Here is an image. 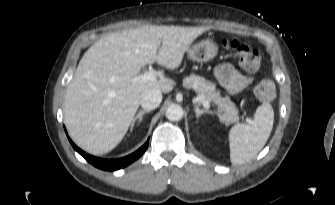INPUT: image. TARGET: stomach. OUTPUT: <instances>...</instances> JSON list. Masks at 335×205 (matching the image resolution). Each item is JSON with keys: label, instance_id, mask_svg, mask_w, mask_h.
<instances>
[{"label": "stomach", "instance_id": "1", "mask_svg": "<svg viewBox=\"0 0 335 205\" xmlns=\"http://www.w3.org/2000/svg\"><path fill=\"white\" fill-rule=\"evenodd\" d=\"M188 58L196 62H208L218 53L217 44L209 39L202 40L188 49Z\"/></svg>", "mask_w": 335, "mask_h": 205}]
</instances>
